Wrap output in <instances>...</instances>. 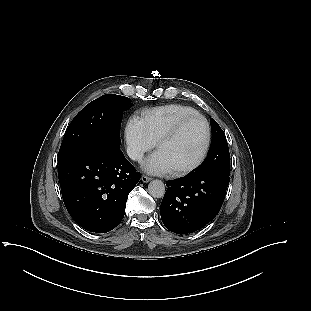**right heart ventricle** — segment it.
I'll return each mask as SVG.
<instances>
[{
    "instance_id": "e07e8e85",
    "label": "right heart ventricle",
    "mask_w": 311,
    "mask_h": 311,
    "mask_svg": "<svg viewBox=\"0 0 311 311\" xmlns=\"http://www.w3.org/2000/svg\"><path fill=\"white\" fill-rule=\"evenodd\" d=\"M196 113L197 111L190 106L167 104L142 111L141 121L147 134L155 143L160 135L179 119Z\"/></svg>"
}]
</instances>
